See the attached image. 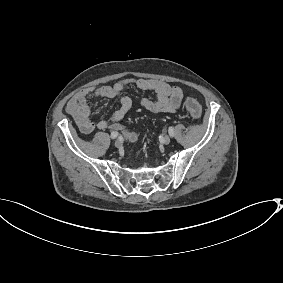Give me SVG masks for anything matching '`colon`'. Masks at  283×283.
<instances>
[{"instance_id": "obj_1", "label": "colon", "mask_w": 283, "mask_h": 283, "mask_svg": "<svg viewBox=\"0 0 283 283\" xmlns=\"http://www.w3.org/2000/svg\"><path fill=\"white\" fill-rule=\"evenodd\" d=\"M188 113L195 119L202 115V105L195 98H188L185 102Z\"/></svg>"}]
</instances>
